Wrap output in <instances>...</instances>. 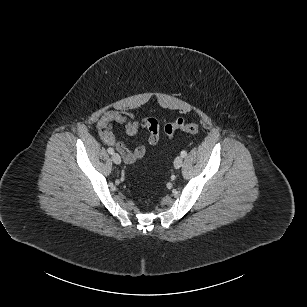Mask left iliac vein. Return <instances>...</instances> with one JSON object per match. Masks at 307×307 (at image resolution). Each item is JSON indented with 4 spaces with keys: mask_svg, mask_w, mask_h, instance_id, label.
I'll list each match as a JSON object with an SVG mask.
<instances>
[{
    "mask_svg": "<svg viewBox=\"0 0 307 307\" xmlns=\"http://www.w3.org/2000/svg\"><path fill=\"white\" fill-rule=\"evenodd\" d=\"M182 164H183V158L181 156L176 157L174 160V167L176 169H179L182 166Z\"/></svg>",
    "mask_w": 307,
    "mask_h": 307,
    "instance_id": "4c4485c4",
    "label": "left iliac vein"
}]
</instances>
